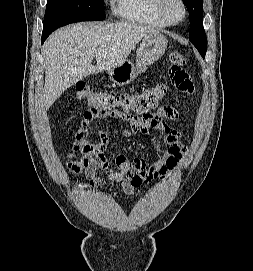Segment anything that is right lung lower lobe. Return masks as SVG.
Returning a JSON list of instances; mask_svg holds the SVG:
<instances>
[{
	"label": "right lung lower lobe",
	"instance_id": "obj_1",
	"mask_svg": "<svg viewBox=\"0 0 253 271\" xmlns=\"http://www.w3.org/2000/svg\"><path fill=\"white\" fill-rule=\"evenodd\" d=\"M49 35H50L49 33H47V34L43 33L41 42L43 43Z\"/></svg>",
	"mask_w": 253,
	"mask_h": 271
}]
</instances>
